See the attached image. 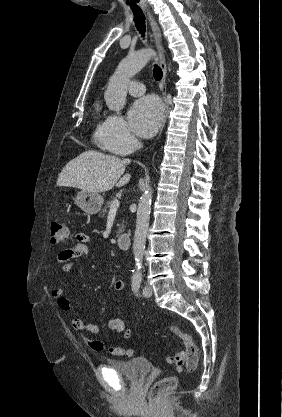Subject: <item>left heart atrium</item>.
Instances as JSON below:
<instances>
[{"label":"left heart atrium","mask_w":282,"mask_h":417,"mask_svg":"<svg viewBox=\"0 0 282 417\" xmlns=\"http://www.w3.org/2000/svg\"><path fill=\"white\" fill-rule=\"evenodd\" d=\"M162 105L152 96L137 101L129 111L131 128L142 136L154 133L162 119Z\"/></svg>","instance_id":"left-heart-atrium-1"}]
</instances>
